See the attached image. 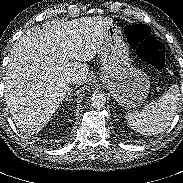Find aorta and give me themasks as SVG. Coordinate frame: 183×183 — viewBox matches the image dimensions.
<instances>
[{
  "mask_svg": "<svg viewBox=\"0 0 183 183\" xmlns=\"http://www.w3.org/2000/svg\"><path fill=\"white\" fill-rule=\"evenodd\" d=\"M91 105L95 108H101L105 105L106 98L102 93H94L90 99Z\"/></svg>",
  "mask_w": 183,
  "mask_h": 183,
  "instance_id": "1",
  "label": "aorta"
}]
</instances>
